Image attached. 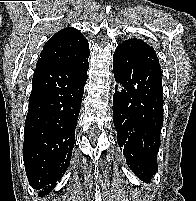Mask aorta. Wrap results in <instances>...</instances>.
Returning a JSON list of instances; mask_svg holds the SVG:
<instances>
[{
    "label": "aorta",
    "instance_id": "762f6f07",
    "mask_svg": "<svg viewBox=\"0 0 196 201\" xmlns=\"http://www.w3.org/2000/svg\"><path fill=\"white\" fill-rule=\"evenodd\" d=\"M122 92V86H120L119 88H118V93H121Z\"/></svg>",
    "mask_w": 196,
    "mask_h": 201
}]
</instances>
